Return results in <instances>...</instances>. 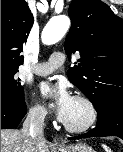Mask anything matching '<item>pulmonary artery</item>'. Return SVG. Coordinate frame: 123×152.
I'll return each instance as SVG.
<instances>
[{
	"label": "pulmonary artery",
	"mask_w": 123,
	"mask_h": 152,
	"mask_svg": "<svg viewBox=\"0 0 123 152\" xmlns=\"http://www.w3.org/2000/svg\"><path fill=\"white\" fill-rule=\"evenodd\" d=\"M65 56L61 52H54L51 54L47 62H41L34 65L31 71L39 76H45L52 73L55 69L64 64Z\"/></svg>",
	"instance_id": "1"
}]
</instances>
